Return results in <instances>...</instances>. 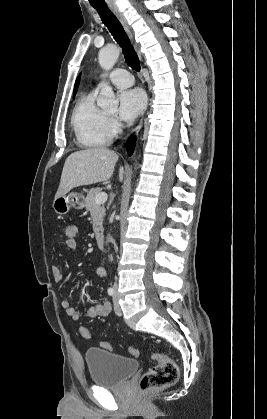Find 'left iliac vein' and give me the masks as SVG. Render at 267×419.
I'll return each instance as SVG.
<instances>
[{"mask_svg":"<svg viewBox=\"0 0 267 419\" xmlns=\"http://www.w3.org/2000/svg\"><path fill=\"white\" fill-rule=\"evenodd\" d=\"M113 301H114V311H115L116 315L121 316L122 315V310H121V307H120V305L118 303V294H117V292L114 295Z\"/></svg>","mask_w":267,"mask_h":419,"instance_id":"1","label":"left iliac vein"}]
</instances>
